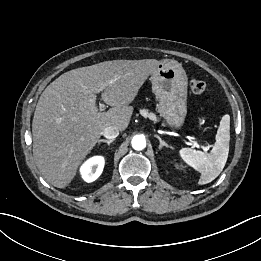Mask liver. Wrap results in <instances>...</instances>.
<instances>
[{
    "label": "liver",
    "mask_w": 261,
    "mask_h": 261,
    "mask_svg": "<svg viewBox=\"0 0 261 261\" xmlns=\"http://www.w3.org/2000/svg\"><path fill=\"white\" fill-rule=\"evenodd\" d=\"M155 59L113 60L68 71L43 91L32 121L33 157L43 177L68 186L108 126L124 131L139 89L159 65ZM111 108L100 112L97 91Z\"/></svg>",
    "instance_id": "6515ba94"
}]
</instances>
